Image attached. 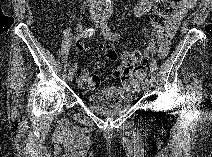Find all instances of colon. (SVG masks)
I'll list each match as a JSON object with an SVG mask.
<instances>
[{
  "instance_id": "1",
  "label": "colon",
  "mask_w": 212,
  "mask_h": 157,
  "mask_svg": "<svg viewBox=\"0 0 212 157\" xmlns=\"http://www.w3.org/2000/svg\"><path fill=\"white\" fill-rule=\"evenodd\" d=\"M176 0H159L155 3L153 11L149 15V22L154 29V38L159 41L165 36L164 27L167 18L172 14ZM104 55L114 61L117 58L116 51L111 45H104L102 48ZM156 52L154 46L148 47L146 52L139 50H125L121 54V67L115 71L114 75L120 77L123 83L138 79L145 75V68L142 65L146 55ZM159 53V49H158ZM99 79L96 75L87 71L77 73L76 86L81 92L91 91L97 88Z\"/></svg>"
}]
</instances>
